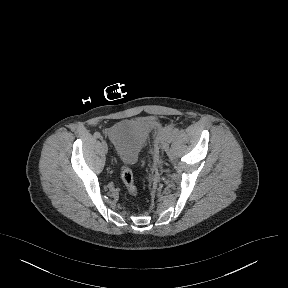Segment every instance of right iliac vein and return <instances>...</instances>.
I'll list each match as a JSON object with an SVG mask.
<instances>
[{"mask_svg": "<svg viewBox=\"0 0 288 288\" xmlns=\"http://www.w3.org/2000/svg\"><path fill=\"white\" fill-rule=\"evenodd\" d=\"M102 148H103L104 152L108 151V146H107V143L105 141L102 142Z\"/></svg>", "mask_w": 288, "mask_h": 288, "instance_id": "63e3f726", "label": "right iliac vein"}]
</instances>
